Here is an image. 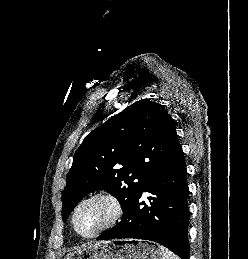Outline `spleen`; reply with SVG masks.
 Wrapping results in <instances>:
<instances>
[{"mask_svg":"<svg viewBox=\"0 0 248 259\" xmlns=\"http://www.w3.org/2000/svg\"><path fill=\"white\" fill-rule=\"evenodd\" d=\"M160 249L162 251V259H180L176 254H174L169 249L160 246Z\"/></svg>","mask_w":248,"mask_h":259,"instance_id":"spleen-1","label":"spleen"}]
</instances>
